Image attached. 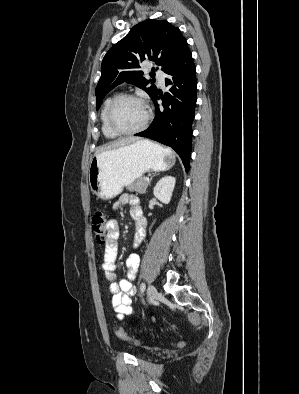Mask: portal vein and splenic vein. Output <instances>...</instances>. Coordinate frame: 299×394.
Returning <instances> with one entry per match:
<instances>
[{
    "label": "portal vein and splenic vein",
    "mask_w": 299,
    "mask_h": 394,
    "mask_svg": "<svg viewBox=\"0 0 299 394\" xmlns=\"http://www.w3.org/2000/svg\"><path fill=\"white\" fill-rule=\"evenodd\" d=\"M145 181H146V182H149V181H150V179H149L148 177H146V178H145Z\"/></svg>",
    "instance_id": "portal-vein-and-splenic-vein-1"
}]
</instances>
